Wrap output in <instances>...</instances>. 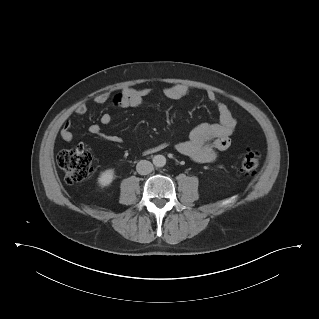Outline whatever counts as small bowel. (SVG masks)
I'll return each mask as SVG.
<instances>
[{
	"mask_svg": "<svg viewBox=\"0 0 319 319\" xmlns=\"http://www.w3.org/2000/svg\"><path fill=\"white\" fill-rule=\"evenodd\" d=\"M188 93V87L184 84H173L164 89V96L169 100H179ZM150 94L149 89L125 88L120 96L119 104L122 107L139 106ZM117 97V96H116ZM115 97V98H116ZM207 98L214 103L218 113V122L202 123L195 126L186 140L176 144L175 149L183 156L190 158L196 162L208 163L214 161L220 152L230 147V136L236 128V119L233 117L228 105L220 101L217 94L209 90ZM111 99L109 93L104 92L94 97V103L97 105H105ZM115 103V99H114ZM88 107L85 103L77 106L75 112L79 116L86 114ZM112 121L110 113H103L99 123L91 124L88 128L89 132L95 136L101 137L110 143H121L122 139L118 135L108 134L102 130V126L109 125ZM72 123L67 120L61 131L60 136L64 142H71L74 138L72 131ZM167 146L161 143L146 149V153L157 152Z\"/></svg>",
	"mask_w": 319,
	"mask_h": 319,
	"instance_id": "small-bowel-1",
	"label": "small bowel"
}]
</instances>
